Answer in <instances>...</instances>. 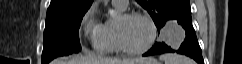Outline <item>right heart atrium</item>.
I'll return each mask as SVG.
<instances>
[{"label": "right heart atrium", "mask_w": 242, "mask_h": 64, "mask_svg": "<svg viewBox=\"0 0 242 64\" xmlns=\"http://www.w3.org/2000/svg\"><path fill=\"white\" fill-rule=\"evenodd\" d=\"M80 28L86 38L95 41L96 37L102 32L103 25L95 19V10L91 7L83 16Z\"/></svg>", "instance_id": "right-heart-atrium-1"}]
</instances>
